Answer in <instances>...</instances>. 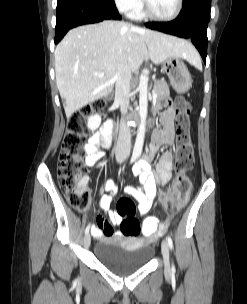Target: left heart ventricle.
<instances>
[{
	"label": "left heart ventricle",
	"mask_w": 247,
	"mask_h": 304,
	"mask_svg": "<svg viewBox=\"0 0 247 304\" xmlns=\"http://www.w3.org/2000/svg\"><path fill=\"white\" fill-rule=\"evenodd\" d=\"M151 11L160 17L171 15L177 6V0H147Z\"/></svg>",
	"instance_id": "b2bd125f"
}]
</instances>
